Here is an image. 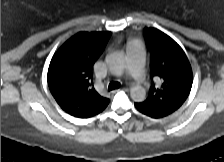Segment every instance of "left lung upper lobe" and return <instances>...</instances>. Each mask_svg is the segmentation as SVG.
<instances>
[{"label":"left lung upper lobe","mask_w":224,"mask_h":162,"mask_svg":"<svg viewBox=\"0 0 224 162\" xmlns=\"http://www.w3.org/2000/svg\"><path fill=\"white\" fill-rule=\"evenodd\" d=\"M146 39L152 76L159 83L157 86L153 83L148 98L135 106L142 113L168 115L188 97L193 81L192 69L182 48L165 33L146 28Z\"/></svg>","instance_id":"obj_1"}]
</instances>
